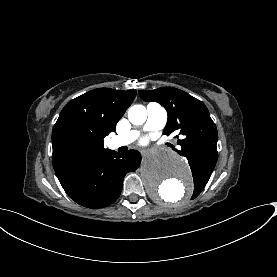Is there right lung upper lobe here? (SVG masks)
I'll return each instance as SVG.
<instances>
[{"mask_svg":"<svg viewBox=\"0 0 277 277\" xmlns=\"http://www.w3.org/2000/svg\"><path fill=\"white\" fill-rule=\"evenodd\" d=\"M136 96V90L98 88L62 109L52 131V162L57 177L97 155L108 152L103 139Z\"/></svg>","mask_w":277,"mask_h":277,"instance_id":"obj_1","label":"right lung upper lobe"}]
</instances>
